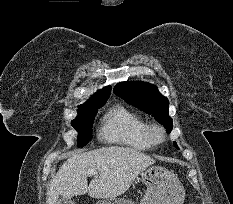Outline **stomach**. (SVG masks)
Returning a JSON list of instances; mask_svg holds the SVG:
<instances>
[{"instance_id":"0dacf381","label":"stomach","mask_w":233,"mask_h":204,"mask_svg":"<svg viewBox=\"0 0 233 204\" xmlns=\"http://www.w3.org/2000/svg\"><path fill=\"white\" fill-rule=\"evenodd\" d=\"M139 180L147 186L140 204H183L185 190L171 171L151 166L140 171ZM97 204H135L127 199H104Z\"/></svg>"}]
</instances>
